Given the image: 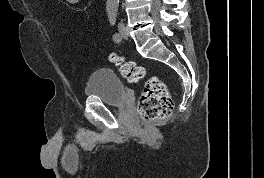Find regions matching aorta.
<instances>
[{"mask_svg":"<svg viewBox=\"0 0 264 178\" xmlns=\"http://www.w3.org/2000/svg\"><path fill=\"white\" fill-rule=\"evenodd\" d=\"M119 0H107L106 9L108 12L114 11L116 12L118 9Z\"/></svg>","mask_w":264,"mask_h":178,"instance_id":"762f6f07","label":"aorta"}]
</instances>
